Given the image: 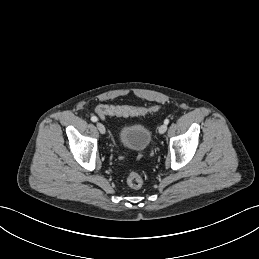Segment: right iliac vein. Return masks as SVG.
<instances>
[{
  "label": "right iliac vein",
  "mask_w": 259,
  "mask_h": 259,
  "mask_svg": "<svg viewBox=\"0 0 259 259\" xmlns=\"http://www.w3.org/2000/svg\"><path fill=\"white\" fill-rule=\"evenodd\" d=\"M96 126H97V128H98V130H99V132L101 134H105L106 129H105L104 125L101 122H97Z\"/></svg>",
  "instance_id": "63e3f726"
}]
</instances>
